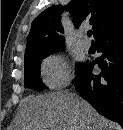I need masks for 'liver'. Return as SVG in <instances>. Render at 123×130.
I'll use <instances>...</instances> for the list:
<instances>
[{
    "mask_svg": "<svg viewBox=\"0 0 123 130\" xmlns=\"http://www.w3.org/2000/svg\"><path fill=\"white\" fill-rule=\"evenodd\" d=\"M107 130L112 123L70 92L29 95L19 104L9 130Z\"/></svg>",
    "mask_w": 123,
    "mask_h": 130,
    "instance_id": "6515ba94",
    "label": "liver"
}]
</instances>
